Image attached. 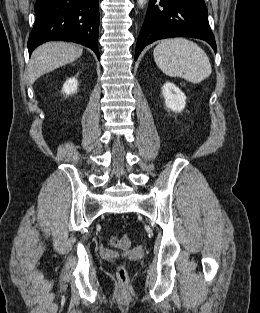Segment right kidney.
I'll use <instances>...</instances> for the list:
<instances>
[{"label":"right kidney","mask_w":260,"mask_h":313,"mask_svg":"<svg viewBox=\"0 0 260 313\" xmlns=\"http://www.w3.org/2000/svg\"><path fill=\"white\" fill-rule=\"evenodd\" d=\"M78 88V80L73 77L69 78L63 85L62 92L66 95L74 94Z\"/></svg>","instance_id":"ca27d5eb"}]
</instances>
